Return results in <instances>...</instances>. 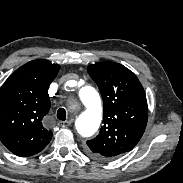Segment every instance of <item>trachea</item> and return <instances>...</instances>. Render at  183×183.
<instances>
[{
  "label": "trachea",
  "instance_id": "1",
  "mask_svg": "<svg viewBox=\"0 0 183 183\" xmlns=\"http://www.w3.org/2000/svg\"><path fill=\"white\" fill-rule=\"evenodd\" d=\"M57 118L62 121H64L66 119V110L64 108L58 109Z\"/></svg>",
  "mask_w": 183,
  "mask_h": 183
}]
</instances>
